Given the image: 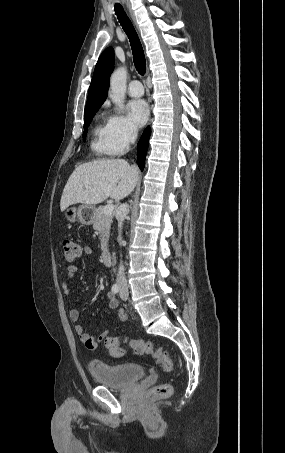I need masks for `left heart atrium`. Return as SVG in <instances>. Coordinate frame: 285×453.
<instances>
[{
	"label": "left heart atrium",
	"instance_id": "left-heart-atrium-1",
	"mask_svg": "<svg viewBox=\"0 0 285 453\" xmlns=\"http://www.w3.org/2000/svg\"><path fill=\"white\" fill-rule=\"evenodd\" d=\"M128 114L131 122L142 127L149 117V108L144 100L136 99L129 103Z\"/></svg>",
	"mask_w": 285,
	"mask_h": 453
}]
</instances>
